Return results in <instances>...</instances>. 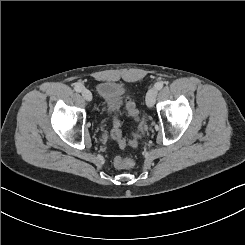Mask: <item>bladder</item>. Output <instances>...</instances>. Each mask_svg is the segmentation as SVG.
<instances>
[{
  "mask_svg": "<svg viewBox=\"0 0 245 245\" xmlns=\"http://www.w3.org/2000/svg\"><path fill=\"white\" fill-rule=\"evenodd\" d=\"M98 93L101 102L105 103L108 111L114 112L121 106L123 94L121 84L112 81H101L98 84Z\"/></svg>",
  "mask_w": 245,
  "mask_h": 245,
  "instance_id": "obj_1",
  "label": "bladder"
}]
</instances>
